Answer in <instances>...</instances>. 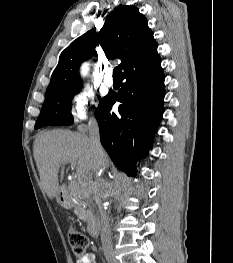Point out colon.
Returning <instances> with one entry per match:
<instances>
[{
  "mask_svg": "<svg viewBox=\"0 0 233 263\" xmlns=\"http://www.w3.org/2000/svg\"><path fill=\"white\" fill-rule=\"evenodd\" d=\"M67 235L74 257L77 260L81 259L85 256L89 245L87 236L83 232L76 229H70Z\"/></svg>",
  "mask_w": 233,
  "mask_h": 263,
  "instance_id": "colon-1",
  "label": "colon"
}]
</instances>
